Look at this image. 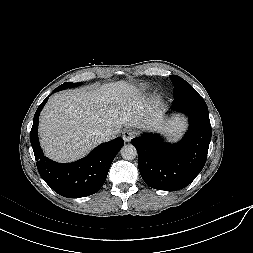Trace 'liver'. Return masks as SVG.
Returning a JSON list of instances; mask_svg holds the SVG:
<instances>
[{"label": "liver", "mask_w": 253, "mask_h": 253, "mask_svg": "<svg viewBox=\"0 0 253 253\" xmlns=\"http://www.w3.org/2000/svg\"><path fill=\"white\" fill-rule=\"evenodd\" d=\"M162 114L157 103L145 101L134 86L124 81L62 91L53 95L41 112L40 143L47 157L71 162L101 143L95 131L111 129L116 135L122 126L157 128ZM181 126L176 121L165 129L176 135Z\"/></svg>", "instance_id": "6515ba94"}]
</instances>
